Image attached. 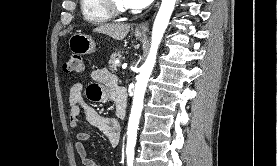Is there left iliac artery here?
Returning a JSON list of instances; mask_svg holds the SVG:
<instances>
[{
    "label": "left iliac artery",
    "instance_id": "44dca946",
    "mask_svg": "<svg viewBox=\"0 0 277 166\" xmlns=\"http://www.w3.org/2000/svg\"><path fill=\"white\" fill-rule=\"evenodd\" d=\"M134 153H127V166H133Z\"/></svg>",
    "mask_w": 277,
    "mask_h": 166
}]
</instances>
